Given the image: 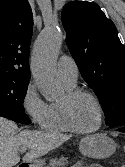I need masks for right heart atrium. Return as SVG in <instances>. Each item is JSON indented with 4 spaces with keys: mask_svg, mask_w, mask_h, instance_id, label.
Masks as SVG:
<instances>
[{
    "mask_svg": "<svg viewBox=\"0 0 125 167\" xmlns=\"http://www.w3.org/2000/svg\"><path fill=\"white\" fill-rule=\"evenodd\" d=\"M21 107L35 127L44 128L49 114V104L40 96L33 81H30L24 90Z\"/></svg>",
    "mask_w": 125,
    "mask_h": 167,
    "instance_id": "d8ad5b80",
    "label": "right heart atrium"
}]
</instances>
